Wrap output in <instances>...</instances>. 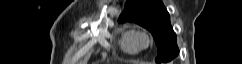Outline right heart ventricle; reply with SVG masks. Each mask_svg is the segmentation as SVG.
Here are the masks:
<instances>
[{
  "label": "right heart ventricle",
  "instance_id": "1",
  "mask_svg": "<svg viewBox=\"0 0 242 64\" xmlns=\"http://www.w3.org/2000/svg\"><path fill=\"white\" fill-rule=\"evenodd\" d=\"M134 34L133 29H123L120 33L119 46L125 53L136 54L139 50L134 40Z\"/></svg>",
  "mask_w": 242,
  "mask_h": 64
}]
</instances>
